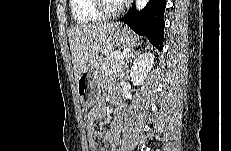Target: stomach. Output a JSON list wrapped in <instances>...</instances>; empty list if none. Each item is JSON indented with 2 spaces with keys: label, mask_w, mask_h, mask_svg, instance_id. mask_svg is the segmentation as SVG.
Here are the masks:
<instances>
[{
  "label": "stomach",
  "mask_w": 231,
  "mask_h": 151,
  "mask_svg": "<svg viewBox=\"0 0 231 151\" xmlns=\"http://www.w3.org/2000/svg\"><path fill=\"white\" fill-rule=\"evenodd\" d=\"M113 45L131 48L139 45V42L128 29L118 26L114 31ZM109 53L100 54L93 58L76 83L78 97L86 108L92 107L99 100L101 92L99 69L103 60L108 57L105 55Z\"/></svg>",
  "instance_id": "obj_1"
}]
</instances>
